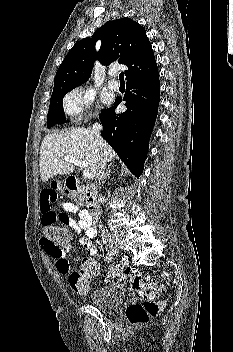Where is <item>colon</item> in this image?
Here are the masks:
<instances>
[{
	"mask_svg": "<svg viewBox=\"0 0 233 352\" xmlns=\"http://www.w3.org/2000/svg\"><path fill=\"white\" fill-rule=\"evenodd\" d=\"M43 224L44 238L57 247H64L68 240V232L55 225L52 220ZM99 272V264L92 257H85L79 271L73 272L69 277V285L73 292L79 297H85L90 289L92 277ZM106 278L123 281L128 288L137 293L142 302L130 304L125 310V316L131 325H140L148 322L151 316H155L164 306L162 302L156 301L164 291V287L157 284L149 277H143L138 272H133L129 267L116 264L111 266L106 272Z\"/></svg>",
	"mask_w": 233,
	"mask_h": 352,
	"instance_id": "1",
	"label": "colon"
}]
</instances>
